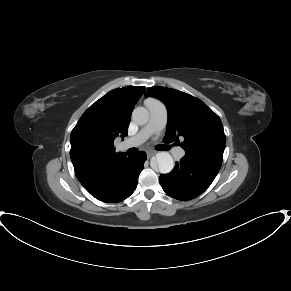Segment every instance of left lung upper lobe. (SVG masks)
Wrapping results in <instances>:
<instances>
[{
  "label": "left lung upper lobe",
  "mask_w": 291,
  "mask_h": 291,
  "mask_svg": "<svg viewBox=\"0 0 291 291\" xmlns=\"http://www.w3.org/2000/svg\"><path fill=\"white\" fill-rule=\"evenodd\" d=\"M149 95L160 99L167 106L168 122L164 142L179 143L186 157L222 164L226 137L218 117L201 100L178 90L154 86Z\"/></svg>",
  "instance_id": "left-lung-upper-lobe-1"
}]
</instances>
